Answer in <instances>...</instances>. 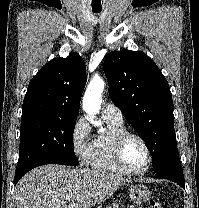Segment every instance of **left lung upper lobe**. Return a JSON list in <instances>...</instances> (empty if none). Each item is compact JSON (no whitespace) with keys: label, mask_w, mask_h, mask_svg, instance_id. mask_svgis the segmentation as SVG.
<instances>
[{"label":"left lung upper lobe","mask_w":199,"mask_h":208,"mask_svg":"<svg viewBox=\"0 0 199 208\" xmlns=\"http://www.w3.org/2000/svg\"><path fill=\"white\" fill-rule=\"evenodd\" d=\"M103 69L112 102L146 143L153 169L178 155L173 101L164 75L144 52L107 55Z\"/></svg>","instance_id":"obj_1"}]
</instances>
